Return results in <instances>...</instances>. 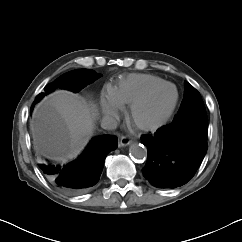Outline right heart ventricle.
Here are the masks:
<instances>
[{
	"instance_id": "e07e8e85",
	"label": "right heart ventricle",
	"mask_w": 242,
	"mask_h": 242,
	"mask_svg": "<svg viewBox=\"0 0 242 242\" xmlns=\"http://www.w3.org/2000/svg\"><path fill=\"white\" fill-rule=\"evenodd\" d=\"M166 82L152 74H129L121 77L111 93L121 105H131L150 88Z\"/></svg>"
}]
</instances>
